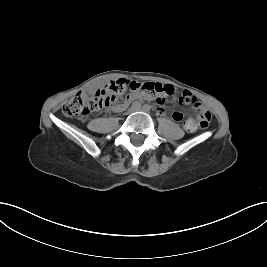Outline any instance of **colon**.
<instances>
[{
	"mask_svg": "<svg viewBox=\"0 0 267 267\" xmlns=\"http://www.w3.org/2000/svg\"><path fill=\"white\" fill-rule=\"evenodd\" d=\"M173 90L169 84L155 82L140 83L136 81L119 80L109 87L98 89L92 97L82 93L69 98L62 106V111L69 117L85 119L89 114L99 111L119 100H128L133 96H141L157 104H164L172 95ZM180 103L193 105L196 114L191 118L198 128H206L211 121V114L198 103L196 98L183 92L179 98ZM180 114H173V119L178 120Z\"/></svg>",
	"mask_w": 267,
	"mask_h": 267,
	"instance_id": "colon-1",
	"label": "colon"
}]
</instances>
